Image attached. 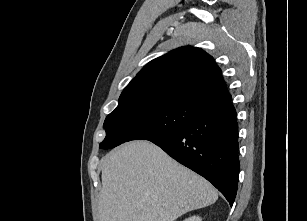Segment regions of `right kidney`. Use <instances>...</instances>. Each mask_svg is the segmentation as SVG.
Returning <instances> with one entry per match:
<instances>
[{
    "label": "right kidney",
    "instance_id": "1",
    "mask_svg": "<svg viewBox=\"0 0 307 221\" xmlns=\"http://www.w3.org/2000/svg\"><path fill=\"white\" fill-rule=\"evenodd\" d=\"M184 221H202V220L199 216H193V217L185 219Z\"/></svg>",
    "mask_w": 307,
    "mask_h": 221
}]
</instances>
